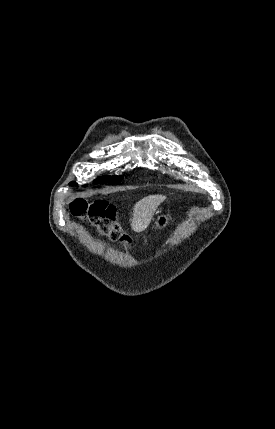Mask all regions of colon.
Listing matches in <instances>:
<instances>
[{
  "mask_svg": "<svg viewBox=\"0 0 275 429\" xmlns=\"http://www.w3.org/2000/svg\"><path fill=\"white\" fill-rule=\"evenodd\" d=\"M70 211L73 216L94 226L100 235L121 243L126 249L132 248L131 238L121 230L116 220L114 205L103 200H75Z\"/></svg>",
  "mask_w": 275,
  "mask_h": 429,
  "instance_id": "5ec220e1",
  "label": "colon"
}]
</instances>
